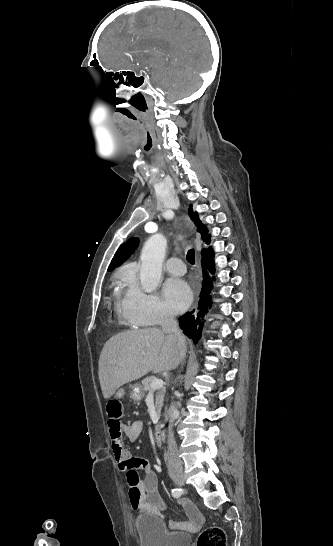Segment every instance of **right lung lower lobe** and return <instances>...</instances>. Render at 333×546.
<instances>
[{
	"mask_svg": "<svg viewBox=\"0 0 333 546\" xmlns=\"http://www.w3.org/2000/svg\"><path fill=\"white\" fill-rule=\"evenodd\" d=\"M203 281L200 293V301L197 311L186 312L179 318V326L183 333L187 335L196 344L201 337L203 322L211 307L210 288H212V278L209 272L214 274V253L210 248L205 253H202Z\"/></svg>",
	"mask_w": 333,
	"mask_h": 546,
	"instance_id": "98d812e1",
	"label": "right lung lower lobe"
}]
</instances>
